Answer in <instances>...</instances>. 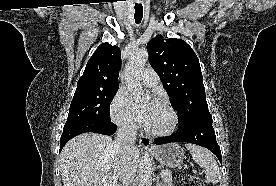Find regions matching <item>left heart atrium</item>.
<instances>
[{"mask_svg":"<svg viewBox=\"0 0 276 186\" xmlns=\"http://www.w3.org/2000/svg\"><path fill=\"white\" fill-rule=\"evenodd\" d=\"M157 105L158 103L153 101L147 107L137 112V118L144 126H147L149 124Z\"/></svg>","mask_w":276,"mask_h":186,"instance_id":"39dd6f15","label":"left heart atrium"}]
</instances>
